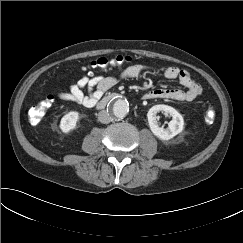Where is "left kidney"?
<instances>
[{
  "label": "left kidney",
  "mask_w": 243,
  "mask_h": 243,
  "mask_svg": "<svg viewBox=\"0 0 243 243\" xmlns=\"http://www.w3.org/2000/svg\"><path fill=\"white\" fill-rule=\"evenodd\" d=\"M165 112L172 117L168 123V128L164 129L158 125L157 113ZM148 123L152 133L160 140H169L181 133L184 129V120L182 115L173 107L168 105H155L151 107L147 113Z\"/></svg>",
  "instance_id": "obj_1"
}]
</instances>
